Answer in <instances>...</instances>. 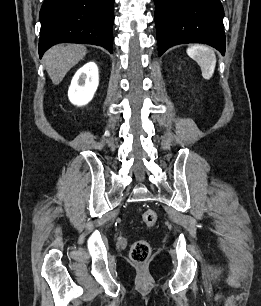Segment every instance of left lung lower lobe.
I'll return each instance as SVG.
<instances>
[{"label":"left lung lower lobe","mask_w":261,"mask_h":306,"mask_svg":"<svg viewBox=\"0 0 261 306\" xmlns=\"http://www.w3.org/2000/svg\"><path fill=\"white\" fill-rule=\"evenodd\" d=\"M158 53L183 43H206L225 54L220 0H154Z\"/></svg>","instance_id":"0a47b994"}]
</instances>
